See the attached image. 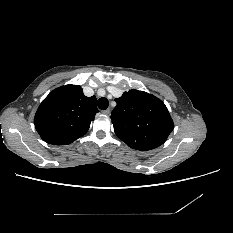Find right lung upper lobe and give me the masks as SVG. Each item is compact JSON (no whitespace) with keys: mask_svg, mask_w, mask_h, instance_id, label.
Listing matches in <instances>:
<instances>
[{"mask_svg":"<svg viewBox=\"0 0 233 233\" xmlns=\"http://www.w3.org/2000/svg\"><path fill=\"white\" fill-rule=\"evenodd\" d=\"M98 112L96 97H86L79 85L53 90L40 104L34 124L41 138L54 145H67L83 136Z\"/></svg>","mask_w":233,"mask_h":233,"instance_id":"cb5924a9","label":"right lung upper lobe"}]
</instances>
